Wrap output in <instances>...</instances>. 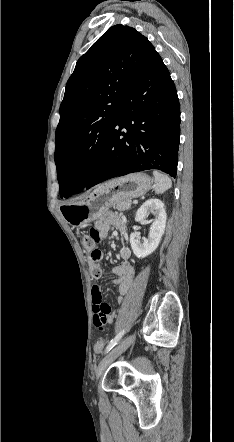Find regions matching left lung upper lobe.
<instances>
[{
    "label": "left lung upper lobe",
    "instance_id": "obj_1",
    "mask_svg": "<svg viewBox=\"0 0 234 442\" xmlns=\"http://www.w3.org/2000/svg\"><path fill=\"white\" fill-rule=\"evenodd\" d=\"M154 52L145 36L118 24L77 61L66 84L55 135L61 198L85 187L102 156L125 93Z\"/></svg>",
    "mask_w": 234,
    "mask_h": 442
}]
</instances>
